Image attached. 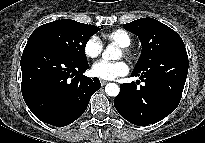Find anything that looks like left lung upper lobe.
<instances>
[{
  "label": "left lung upper lobe",
  "instance_id": "obj_1",
  "mask_svg": "<svg viewBox=\"0 0 205 143\" xmlns=\"http://www.w3.org/2000/svg\"><path fill=\"white\" fill-rule=\"evenodd\" d=\"M123 27L136 34L142 44V53L134 71L151 68L154 61L166 50L184 45L174 30L153 18H141L124 24Z\"/></svg>",
  "mask_w": 205,
  "mask_h": 143
}]
</instances>
